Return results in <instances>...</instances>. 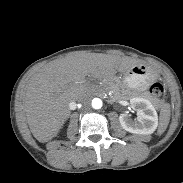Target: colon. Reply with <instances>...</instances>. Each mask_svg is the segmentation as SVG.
<instances>
[{"label":"colon","mask_w":183,"mask_h":183,"mask_svg":"<svg viewBox=\"0 0 183 183\" xmlns=\"http://www.w3.org/2000/svg\"><path fill=\"white\" fill-rule=\"evenodd\" d=\"M150 92L153 96L159 98L162 96V94L164 92V88L160 82H154L150 86Z\"/></svg>","instance_id":"obj_1"}]
</instances>
